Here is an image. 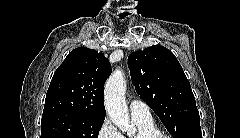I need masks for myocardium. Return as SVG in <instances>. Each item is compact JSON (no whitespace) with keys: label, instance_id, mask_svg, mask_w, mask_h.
<instances>
[{"label":"myocardium","instance_id":"f54148a6","mask_svg":"<svg viewBox=\"0 0 240 138\" xmlns=\"http://www.w3.org/2000/svg\"><path fill=\"white\" fill-rule=\"evenodd\" d=\"M142 138H166V137L159 131H153L142 135Z\"/></svg>","mask_w":240,"mask_h":138}]
</instances>
